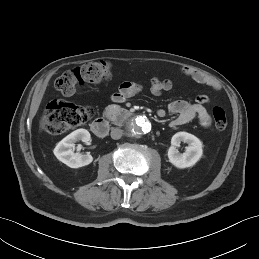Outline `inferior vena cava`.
I'll return each instance as SVG.
<instances>
[{
    "label": "inferior vena cava",
    "instance_id": "602c4592",
    "mask_svg": "<svg viewBox=\"0 0 259 259\" xmlns=\"http://www.w3.org/2000/svg\"><path fill=\"white\" fill-rule=\"evenodd\" d=\"M123 135V131L119 128H112L111 138L114 140L120 139Z\"/></svg>",
    "mask_w": 259,
    "mask_h": 259
}]
</instances>
